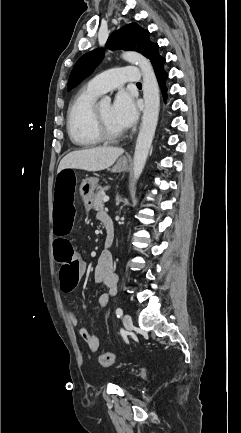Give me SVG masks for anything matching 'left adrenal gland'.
Listing matches in <instances>:
<instances>
[{
  "label": "left adrenal gland",
  "instance_id": "left-adrenal-gland-1",
  "mask_svg": "<svg viewBox=\"0 0 241 433\" xmlns=\"http://www.w3.org/2000/svg\"><path fill=\"white\" fill-rule=\"evenodd\" d=\"M116 202L119 204L121 202V199H119V196L116 197Z\"/></svg>",
  "mask_w": 241,
  "mask_h": 433
}]
</instances>
